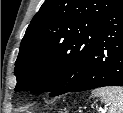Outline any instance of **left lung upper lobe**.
I'll return each mask as SVG.
<instances>
[{
	"mask_svg": "<svg viewBox=\"0 0 123 113\" xmlns=\"http://www.w3.org/2000/svg\"><path fill=\"white\" fill-rule=\"evenodd\" d=\"M115 1L45 0L20 44L15 91L50 92L54 97L74 88Z\"/></svg>",
	"mask_w": 123,
	"mask_h": 113,
	"instance_id": "1",
	"label": "left lung upper lobe"
}]
</instances>
